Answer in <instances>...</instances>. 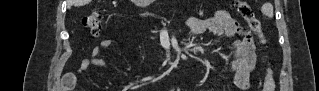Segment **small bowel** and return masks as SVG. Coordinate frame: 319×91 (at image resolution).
<instances>
[{
	"label": "small bowel",
	"mask_w": 319,
	"mask_h": 91,
	"mask_svg": "<svg viewBox=\"0 0 319 91\" xmlns=\"http://www.w3.org/2000/svg\"><path fill=\"white\" fill-rule=\"evenodd\" d=\"M186 27L193 35L210 32L216 36L231 39V45L226 53L227 61L224 71L234 74V82L240 90H249L250 75L254 71L258 59L253 34L239 25L225 11H217L207 19L191 17L186 21ZM112 45L111 39H102L99 46L92 49L90 56L82 60L79 70H86L92 66H105L107 61L100 57L101 50L108 49Z\"/></svg>",
	"instance_id": "c3829d8e"
}]
</instances>
